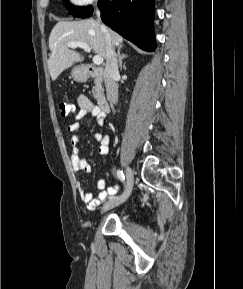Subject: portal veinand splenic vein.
<instances>
[{
  "label": "portal vein and splenic vein",
  "instance_id": "obj_1",
  "mask_svg": "<svg viewBox=\"0 0 243 289\" xmlns=\"http://www.w3.org/2000/svg\"><path fill=\"white\" fill-rule=\"evenodd\" d=\"M67 46L70 47V48L80 47V48L84 49V51H86L88 53L91 52V48H90V46L87 43L74 41V42L67 43ZM93 63L95 65H101L103 63V58L101 56H99V55H96V56L93 57Z\"/></svg>",
  "mask_w": 243,
  "mask_h": 289
}]
</instances>
